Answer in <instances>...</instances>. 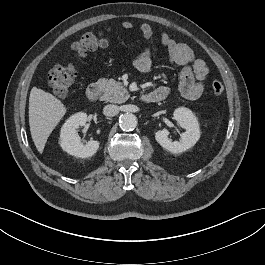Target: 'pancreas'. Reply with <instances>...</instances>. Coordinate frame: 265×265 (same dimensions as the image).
<instances>
[{"instance_id":"pancreas-1","label":"pancreas","mask_w":265,"mask_h":265,"mask_svg":"<svg viewBox=\"0 0 265 265\" xmlns=\"http://www.w3.org/2000/svg\"><path fill=\"white\" fill-rule=\"evenodd\" d=\"M102 91L100 100L113 103H123L129 98L127 89L114 79H100L96 83Z\"/></svg>"}]
</instances>
